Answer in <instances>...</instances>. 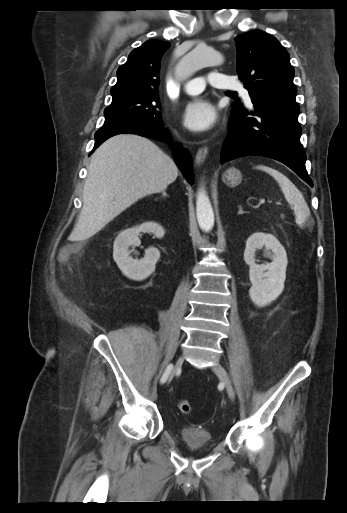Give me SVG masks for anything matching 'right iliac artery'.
I'll return each instance as SVG.
<instances>
[{
    "label": "right iliac artery",
    "mask_w": 347,
    "mask_h": 513,
    "mask_svg": "<svg viewBox=\"0 0 347 513\" xmlns=\"http://www.w3.org/2000/svg\"><path fill=\"white\" fill-rule=\"evenodd\" d=\"M173 369V365L172 364H169L166 369H165V372L163 373L161 379H160V382L161 383H165L166 380L168 379V376L169 374L171 373V370Z\"/></svg>",
    "instance_id": "right-iliac-artery-1"
}]
</instances>
